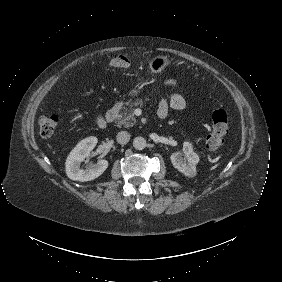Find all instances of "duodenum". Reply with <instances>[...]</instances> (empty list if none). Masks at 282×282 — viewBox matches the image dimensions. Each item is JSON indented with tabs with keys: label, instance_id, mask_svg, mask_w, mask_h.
I'll list each match as a JSON object with an SVG mask.
<instances>
[{
	"label": "duodenum",
	"instance_id": "1",
	"mask_svg": "<svg viewBox=\"0 0 282 282\" xmlns=\"http://www.w3.org/2000/svg\"><path fill=\"white\" fill-rule=\"evenodd\" d=\"M120 110V105L115 104L113 105L106 113L105 118L103 120L104 124L112 123L118 116Z\"/></svg>",
	"mask_w": 282,
	"mask_h": 282
}]
</instances>
